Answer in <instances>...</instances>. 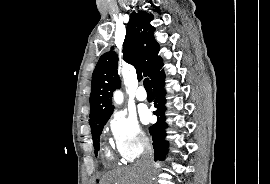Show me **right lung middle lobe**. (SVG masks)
I'll return each mask as SVG.
<instances>
[{
	"instance_id": "right-lung-middle-lobe-1",
	"label": "right lung middle lobe",
	"mask_w": 270,
	"mask_h": 184,
	"mask_svg": "<svg viewBox=\"0 0 270 184\" xmlns=\"http://www.w3.org/2000/svg\"><path fill=\"white\" fill-rule=\"evenodd\" d=\"M106 122L107 120L91 125V133L93 137V145L95 148V154H97V151L99 150L100 135Z\"/></svg>"
}]
</instances>
